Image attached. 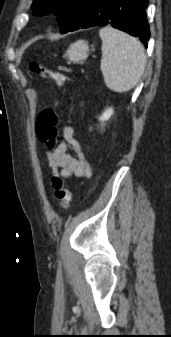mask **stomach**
<instances>
[{
    "label": "stomach",
    "instance_id": "stomach-1",
    "mask_svg": "<svg viewBox=\"0 0 171 337\" xmlns=\"http://www.w3.org/2000/svg\"><path fill=\"white\" fill-rule=\"evenodd\" d=\"M89 55V46L88 43L79 40L70 45L65 53V57L69 59V61L74 63H82Z\"/></svg>",
    "mask_w": 171,
    "mask_h": 337
}]
</instances>
